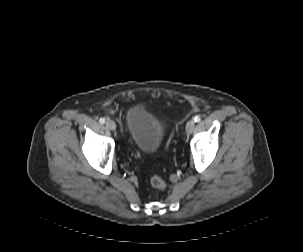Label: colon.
<instances>
[{"instance_id": "obj_1", "label": "colon", "mask_w": 303, "mask_h": 252, "mask_svg": "<svg viewBox=\"0 0 303 252\" xmlns=\"http://www.w3.org/2000/svg\"><path fill=\"white\" fill-rule=\"evenodd\" d=\"M151 184L153 187L159 190H164L166 188V182L159 176H153L151 178Z\"/></svg>"}]
</instances>
